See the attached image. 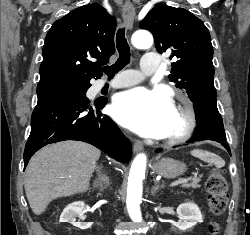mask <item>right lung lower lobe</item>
<instances>
[{"instance_id": "obj_1", "label": "right lung lower lobe", "mask_w": 250, "mask_h": 235, "mask_svg": "<svg viewBox=\"0 0 250 235\" xmlns=\"http://www.w3.org/2000/svg\"><path fill=\"white\" fill-rule=\"evenodd\" d=\"M89 83L39 92L31 117V133L24 151V167L43 146L64 140L90 143L120 162L131 158V145L118 126L100 108L106 99L90 103Z\"/></svg>"}]
</instances>
